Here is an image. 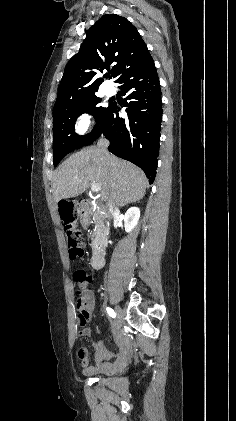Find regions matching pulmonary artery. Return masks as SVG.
<instances>
[{
  "label": "pulmonary artery",
  "mask_w": 236,
  "mask_h": 421,
  "mask_svg": "<svg viewBox=\"0 0 236 421\" xmlns=\"http://www.w3.org/2000/svg\"><path fill=\"white\" fill-rule=\"evenodd\" d=\"M115 93V90L113 87L107 86L104 88V95L107 97L113 96Z\"/></svg>",
  "instance_id": "e3ab8cb5"
}]
</instances>
